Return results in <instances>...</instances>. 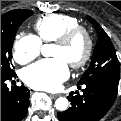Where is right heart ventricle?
Here are the masks:
<instances>
[{"instance_id": "obj_1", "label": "right heart ventricle", "mask_w": 121, "mask_h": 121, "mask_svg": "<svg viewBox=\"0 0 121 121\" xmlns=\"http://www.w3.org/2000/svg\"><path fill=\"white\" fill-rule=\"evenodd\" d=\"M77 18L65 14H48L34 23L38 39L42 42H54L66 31L79 26Z\"/></svg>"}]
</instances>
